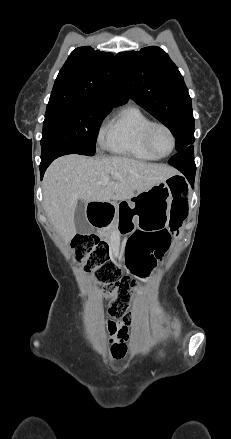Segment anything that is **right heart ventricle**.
<instances>
[{"label": "right heart ventricle", "instance_id": "right-heart-ventricle-1", "mask_svg": "<svg viewBox=\"0 0 231 439\" xmlns=\"http://www.w3.org/2000/svg\"><path fill=\"white\" fill-rule=\"evenodd\" d=\"M151 122V118L138 106H126L106 125L102 145L113 154L142 161L156 160L158 158L144 142V132Z\"/></svg>", "mask_w": 231, "mask_h": 439}]
</instances>
